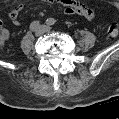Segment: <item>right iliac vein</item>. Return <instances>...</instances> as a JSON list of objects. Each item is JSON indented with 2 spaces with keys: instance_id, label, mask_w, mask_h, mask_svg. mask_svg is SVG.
<instances>
[{
  "instance_id": "1",
  "label": "right iliac vein",
  "mask_w": 119,
  "mask_h": 119,
  "mask_svg": "<svg viewBox=\"0 0 119 119\" xmlns=\"http://www.w3.org/2000/svg\"><path fill=\"white\" fill-rule=\"evenodd\" d=\"M44 32H45V28L43 26H40L38 29H36L35 35L36 36H41V35L44 34Z\"/></svg>"
}]
</instances>
